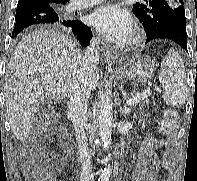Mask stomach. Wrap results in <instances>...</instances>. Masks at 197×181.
Returning a JSON list of instances; mask_svg holds the SVG:
<instances>
[{"label": "stomach", "instance_id": "0dacf381", "mask_svg": "<svg viewBox=\"0 0 197 181\" xmlns=\"http://www.w3.org/2000/svg\"><path fill=\"white\" fill-rule=\"evenodd\" d=\"M156 64L150 58H132L127 60L114 73L117 77L130 80L136 85H143L153 78Z\"/></svg>", "mask_w": 197, "mask_h": 181}]
</instances>
